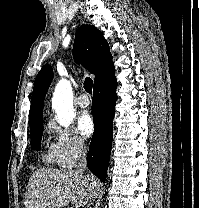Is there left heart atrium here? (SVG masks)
<instances>
[{
	"instance_id": "obj_1",
	"label": "left heart atrium",
	"mask_w": 199,
	"mask_h": 208,
	"mask_svg": "<svg viewBox=\"0 0 199 208\" xmlns=\"http://www.w3.org/2000/svg\"><path fill=\"white\" fill-rule=\"evenodd\" d=\"M77 129L83 137H90L95 129L92 116L88 112H81L77 118Z\"/></svg>"
}]
</instances>
